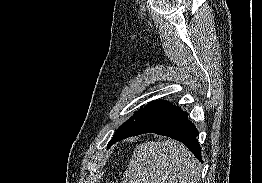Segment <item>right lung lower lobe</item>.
<instances>
[{
  "instance_id": "obj_1",
  "label": "right lung lower lobe",
  "mask_w": 262,
  "mask_h": 183,
  "mask_svg": "<svg viewBox=\"0 0 262 183\" xmlns=\"http://www.w3.org/2000/svg\"><path fill=\"white\" fill-rule=\"evenodd\" d=\"M144 133L169 136L182 142L201 161V148L197 140L198 131L188 120V114L168 101L149 103L140 115L131 122L122 134L109 143V147L124 138Z\"/></svg>"
}]
</instances>
